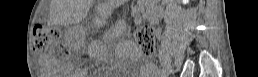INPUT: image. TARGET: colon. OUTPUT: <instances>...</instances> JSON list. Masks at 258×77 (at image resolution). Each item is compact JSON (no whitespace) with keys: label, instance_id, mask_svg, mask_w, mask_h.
<instances>
[{"label":"colon","instance_id":"colon-1","mask_svg":"<svg viewBox=\"0 0 258 77\" xmlns=\"http://www.w3.org/2000/svg\"><path fill=\"white\" fill-rule=\"evenodd\" d=\"M34 44L38 51H43L56 37L54 30L42 23H38L34 29ZM137 46L144 55H151L155 50V32L150 26L140 28L135 34Z\"/></svg>","mask_w":258,"mask_h":77}]
</instances>
